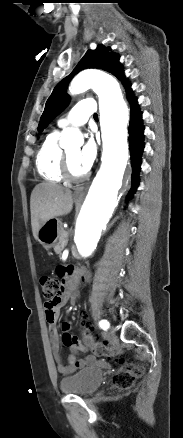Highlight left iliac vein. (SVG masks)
<instances>
[{
  "mask_svg": "<svg viewBox=\"0 0 183 438\" xmlns=\"http://www.w3.org/2000/svg\"><path fill=\"white\" fill-rule=\"evenodd\" d=\"M103 338L105 340H108L109 342H115L116 341L115 334L113 332H110V331L103 332Z\"/></svg>",
  "mask_w": 183,
  "mask_h": 438,
  "instance_id": "1",
  "label": "left iliac vein"
}]
</instances>
